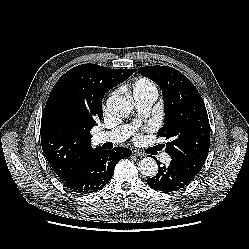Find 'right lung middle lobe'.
Wrapping results in <instances>:
<instances>
[{
  "instance_id": "1",
  "label": "right lung middle lobe",
  "mask_w": 249,
  "mask_h": 249,
  "mask_svg": "<svg viewBox=\"0 0 249 249\" xmlns=\"http://www.w3.org/2000/svg\"><path fill=\"white\" fill-rule=\"evenodd\" d=\"M60 113L65 118L64 123L66 128L77 131L78 134L86 132L89 136V132L95 123L91 122L86 112L82 111L79 107L67 104L64 100L60 105Z\"/></svg>"
}]
</instances>
